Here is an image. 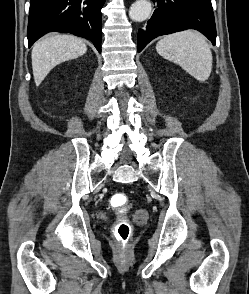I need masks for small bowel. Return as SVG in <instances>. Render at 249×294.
Returning a JSON list of instances; mask_svg holds the SVG:
<instances>
[{
	"label": "small bowel",
	"instance_id": "1",
	"mask_svg": "<svg viewBox=\"0 0 249 294\" xmlns=\"http://www.w3.org/2000/svg\"><path fill=\"white\" fill-rule=\"evenodd\" d=\"M138 215L143 218L145 216V213L143 211H141V212H139Z\"/></svg>",
	"mask_w": 249,
	"mask_h": 294
}]
</instances>
